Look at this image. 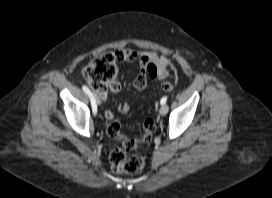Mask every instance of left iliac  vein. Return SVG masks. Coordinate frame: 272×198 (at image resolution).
Instances as JSON below:
<instances>
[{"label": "left iliac vein", "mask_w": 272, "mask_h": 198, "mask_svg": "<svg viewBox=\"0 0 272 198\" xmlns=\"http://www.w3.org/2000/svg\"><path fill=\"white\" fill-rule=\"evenodd\" d=\"M168 105L164 104L160 107L159 113L161 116H165L168 112Z\"/></svg>", "instance_id": "1"}]
</instances>
